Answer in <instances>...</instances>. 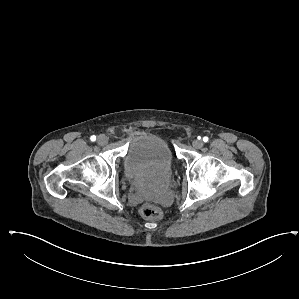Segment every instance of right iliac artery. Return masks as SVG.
<instances>
[{
	"label": "right iliac artery",
	"mask_w": 299,
	"mask_h": 299,
	"mask_svg": "<svg viewBox=\"0 0 299 299\" xmlns=\"http://www.w3.org/2000/svg\"><path fill=\"white\" fill-rule=\"evenodd\" d=\"M90 140L93 141V142L96 141V136H95V135H92V136L90 137Z\"/></svg>",
	"instance_id": "82829eb1"
}]
</instances>
